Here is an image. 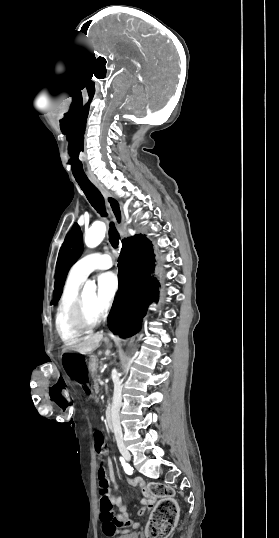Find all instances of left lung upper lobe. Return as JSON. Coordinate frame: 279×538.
I'll list each match as a JSON object with an SVG mask.
<instances>
[{"label": "left lung upper lobe", "mask_w": 279, "mask_h": 538, "mask_svg": "<svg viewBox=\"0 0 279 538\" xmlns=\"http://www.w3.org/2000/svg\"><path fill=\"white\" fill-rule=\"evenodd\" d=\"M83 251L82 231L77 223H74L63 243L57 264L53 301L55 304L63 291V285L70 267L80 258Z\"/></svg>", "instance_id": "1"}]
</instances>
